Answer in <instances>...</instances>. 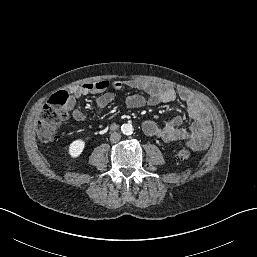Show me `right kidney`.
Wrapping results in <instances>:
<instances>
[{
	"label": "right kidney",
	"instance_id": "right-kidney-1",
	"mask_svg": "<svg viewBox=\"0 0 257 257\" xmlns=\"http://www.w3.org/2000/svg\"><path fill=\"white\" fill-rule=\"evenodd\" d=\"M85 147V142L82 139L73 141L69 146V154L71 157L76 158L80 156Z\"/></svg>",
	"mask_w": 257,
	"mask_h": 257
}]
</instances>
